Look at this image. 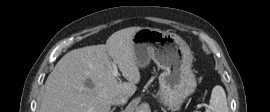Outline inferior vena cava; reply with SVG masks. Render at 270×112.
Returning a JSON list of instances; mask_svg holds the SVG:
<instances>
[{"label": "inferior vena cava", "instance_id": "602c4592", "mask_svg": "<svg viewBox=\"0 0 270 112\" xmlns=\"http://www.w3.org/2000/svg\"><path fill=\"white\" fill-rule=\"evenodd\" d=\"M128 98L126 96H117L115 98H113L112 100V104H115V105H123L127 102Z\"/></svg>", "mask_w": 270, "mask_h": 112}]
</instances>
